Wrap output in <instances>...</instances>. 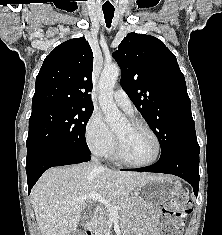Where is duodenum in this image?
<instances>
[{
    "instance_id": "410a0bca",
    "label": "duodenum",
    "mask_w": 222,
    "mask_h": 235,
    "mask_svg": "<svg viewBox=\"0 0 222 235\" xmlns=\"http://www.w3.org/2000/svg\"><path fill=\"white\" fill-rule=\"evenodd\" d=\"M100 208L99 207H96L94 209V215H98L100 213ZM85 235H93L92 232H91V229L90 227L87 228V230L85 231Z\"/></svg>"
}]
</instances>
